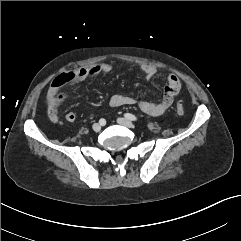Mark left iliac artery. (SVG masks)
<instances>
[{
	"mask_svg": "<svg viewBox=\"0 0 241 241\" xmlns=\"http://www.w3.org/2000/svg\"><path fill=\"white\" fill-rule=\"evenodd\" d=\"M124 116L131 121H137V117L131 113H126Z\"/></svg>",
	"mask_w": 241,
	"mask_h": 241,
	"instance_id": "44dca946",
	"label": "left iliac artery"
}]
</instances>
